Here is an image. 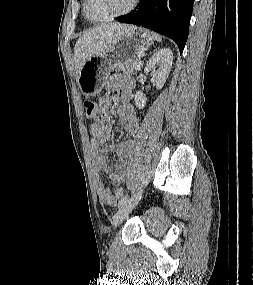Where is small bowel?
Wrapping results in <instances>:
<instances>
[{"instance_id":"c3829d8e","label":"small bowel","mask_w":253,"mask_h":285,"mask_svg":"<svg viewBox=\"0 0 253 285\" xmlns=\"http://www.w3.org/2000/svg\"><path fill=\"white\" fill-rule=\"evenodd\" d=\"M134 80L123 75H112L106 83V88L110 92L116 93L120 100V106L116 113L119 117L120 124L130 135L135 136L139 131V120L136 111L131 103ZM112 101L109 97L100 99L96 106L95 117L90 126L92 135L91 145L94 149V162L96 169L95 187L99 199L106 205H114L122 197L116 192L117 188L126 180L128 173L127 158L131 155L134 144L128 139L118 144L107 145L111 138L112 125L109 122V112ZM108 153H115L119 158L118 164L110 165L107 157ZM100 173L107 174L113 185L117 186L114 192L107 188L100 178Z\"/></svg>"}]
</instances>
